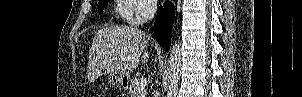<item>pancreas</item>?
Listing matches in <instances>:
<instances>
[{
    "instance_id": "pancreas-1",
    "label": "pancreas",
    "mask_w": 302,
    "mask_h": 97,
    "mask_svg": "<svg viewBox=\"0 0 302 97\" xmlns=\"http://www.w3.org/2000/svg\"><path fill=\"white\" fill-rule=\"evenodd\" d=\"M138 78H134L131 80V83L128 87V93L130 97H146V91L145 90H139L137 88V82Z\"/></svg>"
}]
</instances>
